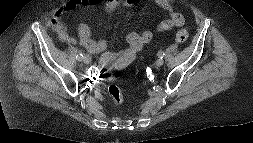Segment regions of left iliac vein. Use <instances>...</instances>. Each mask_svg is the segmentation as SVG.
I'll return each instance as SVG.
<instances>
[{
    "label": "left iliac vein",
    "mask_w": 253,
    "mask_h": 143,
    "mask_svg": "<svg viewBox=\"0 0 253 143\" xmlns=\"http://www.w3.org/2000/svg\"><path fill=\"white\" fill-rule=\"evenodd\" d=\"M156 66L160 67L164 64V60L162 58H159L157 61H156Z\"/></svg>",
    "instance_id": "1"
}]
</instances>
